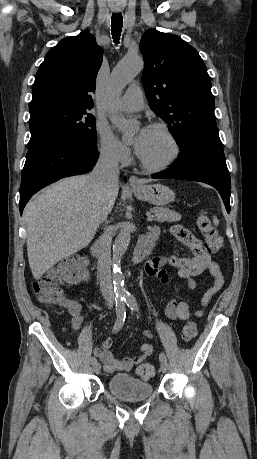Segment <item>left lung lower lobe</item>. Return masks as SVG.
I'll use <instances>...</instances> for the list:
<instances>
[{
  "label": "left lung lower lobe",
  "mask_w": 257,
  "mask_h": 459,
  "mask_svg": "<svg viewBox=\"0 0 257 459\" xmlns=\"http://www.w3.org/2000/svg\"><path fill=\"white\" fill-rule=\"evenodd\" d=\"M151 177L207 183L219 191L230 212V175L216 125L199 128L190 136L185 150L172 166Z\"/></svg>",
  "instance_id": "left-lung-lower-lobe-1"
}]
</instances>
